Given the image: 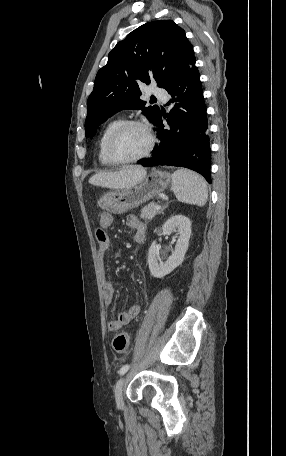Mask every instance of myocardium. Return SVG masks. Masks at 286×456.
Instances as JSON below:
<instances>
[{
  "instance_id": "myocardium-1",
  "label": "myocardium",
  "mask_w": 286,
  "mask_h": 456,
  "mask_svg": "<svg viewBox=\"0 0 286 456\" xmlns=\"http://www.w3.org/2000/svg\"><path fill=\"white\" fill-rule=\"evenodd\" d=\"M130 126H139V127L143 128L145 130V132H146V134L148 136V139H149V143H148L147 149L145 150L144 153H142L141 155H139V156H137L135 158L127 159V160L118 159V158H116L114 156L113 151H112V147H113L114 141L116 140L118 135L123 130H125L126 128H128ZM155 144H156L155 135L153 133V130H152L151 126L147 122H144V121H141V120L129 119V120L122 121L111 132V134L109 135V137H108V139L106 141L105 154H106V157H107L108 161L110 163H112L113 165H127V164H131V163L139 162V161L147 158L152 153V151L154 150Z\"/></svg>"
}]
</instances>
